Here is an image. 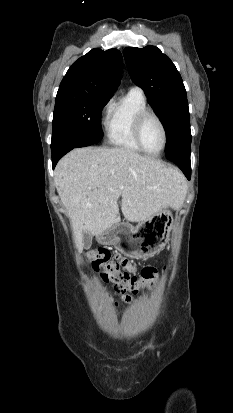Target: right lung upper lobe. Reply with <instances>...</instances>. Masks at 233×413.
<instances>
[{
  "instance_id": "1",
  "label": "right lung upper lobe",
  "mask_w": 233,
  "mask_h": 413,
  "mask_svg": "<svg viewBox=\"0 0 233 413\" xmlns=\"http://www.w3.org/2000/svg\"><path fill=\"white\" fill-rule=\"evenodd\" d=\"M122 55L117 49H92L68 69L58 91H80L112 97L121 78Z\"/></svg>"
}]
</instances>
